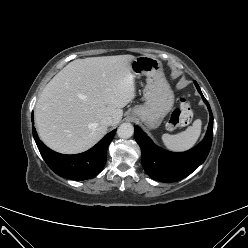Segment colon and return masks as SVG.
I'll use <instances>...</instances> for the list:
<instances>
[{"label":"colon","mask_w":248,"mask_h":248,"mask_svg":"<svg viewBox=\"0 0 248 248\" xmlns=\"http://www.w3.org/2000/svg\"><path fill=\"white\" fill-rule=\"evenodd\" d=\"M192 118V105L191 101L187 97L180 99V106L172 113L167 127L169 129H175L180 126H184L190 122Z\"/></svg>","instance_id":"5ec220e1"}]
</instances>
